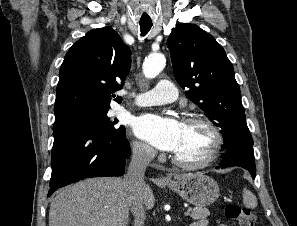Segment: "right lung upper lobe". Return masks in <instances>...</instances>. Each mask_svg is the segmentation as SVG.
<instances>
[{
	"label": "right lung upper lobe",
	"instance_id": "right-lung-upper-lobe-1",
	"mask_svg": "<svg viewBox=\"0 0 297 226\" xmlns=\"http://www.w3.org/2000/svg\"><path fill=\"white\" fill-rule=\"evenodd\" d=\"M131 66V52L111 27L93 29L67 52L59 72L55 121L89 110H109Z\"/></svg>",
	"mask_w": 297,
	"mask_h": 226
}]
</instances>
